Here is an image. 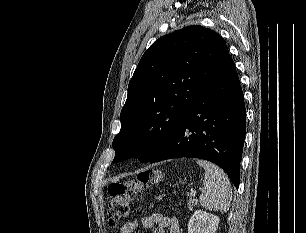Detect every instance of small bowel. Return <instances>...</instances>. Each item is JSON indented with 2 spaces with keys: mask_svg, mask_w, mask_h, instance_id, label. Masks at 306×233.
<instances>
[{
  "mask_svg": "<svg viewBox=\"0 0 306 233\" xmlns=\"http://www.w3.org/2000/svg\"><path fill=\"white\" fill-rule=\"evenodd\" d=\"M138 226L146 229L155 227L153 233H166V230L168 233H180L177 218L165 216L161 213H153L149 216L129 221L121 227L120 233H133Z\"/></svg>",
  "mask_w": 306,
  "mask_h": 233,
  "instance_id": "obj_1",
  "label": "small bowel"
}]
</instances>
